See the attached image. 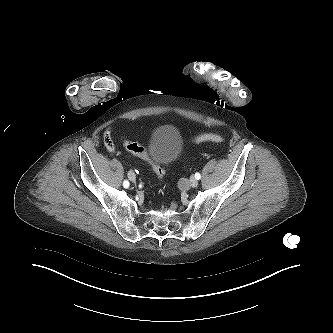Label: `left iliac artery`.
<instances>
[{
	"mask_svg": "<svg viewBox=\"0 0 333 333\" xmlns=\"http://www.w3.org/2000/svg\"><path fill=\"white\" fill-rule=\"evenodd\" d=\"M195 178H196L197 180H199V179L201 178L200 173L197 172V173L195 174Z\"/></svg>",
	"mask_w": 333,
	"mask_h": 333,
	"instance_id": "obj_1",
	"label": "left iliac artery"
}]
</instances>
